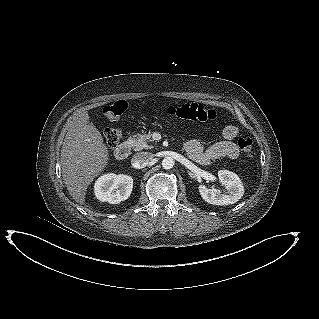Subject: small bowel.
I'll list each match as a JSON object with an SVG mask.
<instances>
[{"label":"small bowel","mask_w":319,"mask_h":319,"mask_svg":"<svg viewBox=\"0 0 319 319\" xmlns=\"http://www.w3.org/2000/svg\"><path fill=\"white\" fill-rule=\"evenodd\" d=\"M239 129L235 125H227L223 130V140L205 148L199 141L192 140L184 145L188 157L202 165L210 164L220 158L236 159L239 154V147L234 142L238 136Z\"/></svg>","instance_id":"1"}]
</instances>
